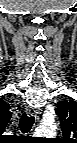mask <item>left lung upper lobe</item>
Returning a JSON list of instances; mask_svg holds the SVG:
<instances>
[{"label": "left lung upper lobe", "mask_w": 77, "mask_h": 143, "mask_svg": "<svg viewBox=\"0 0 77 143\" xmlns=\"http://www.w3.org/2000/svg\"><path fill=\"white\" fill-rule=\"evenodd\" d=\"M61 122V129L65 141L77 137V102L61 101L55 109Z\"/></svg>", "instance_id": "obj_1"}]
</instances>
